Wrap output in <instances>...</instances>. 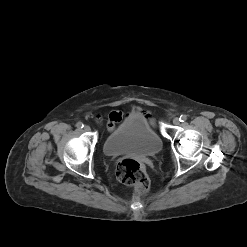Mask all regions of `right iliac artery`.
I'll return each instance as SVG.
<instances>
[{
	"instance_id": "obj_1",
	"label": "right iliac artery",
	"mask_w": 247,
	"mask_h": 247,
	"mask_svg": "<svg viewBox=\"0 0 247 247\" xmlns=\"http://www.w3.org/2000/svg\"><path fill=\"white\" fill-rule=\"evenodd\" d=\"M76 126H77L78 128H83V127H84V124H83L82 122H78V123L76 124Z\"/></svg>"
}]
</instances>
